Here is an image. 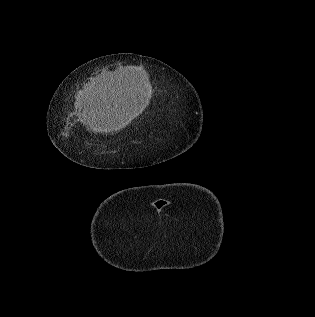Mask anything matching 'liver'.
I'll use <instances>...</instances> for the list:
<instances>
[{
  "instance_id": "liver-1",
  "label": "liver",
  "mask_w": 315,
  "mask_h": 317,
  "mask_svg": "<svg viewBox=\"0 0 315 317\" xmlns=\"http://www.w3.org/2000/svg\"><path fill=\"white\" fill-rule=\"evenodd\" d=\"M91 85L85 90L81 101V122L95 132H117L128 125L135 117L132 102L123 99L118 84L113 87Z\"/></svg>"
}]
</instances>
